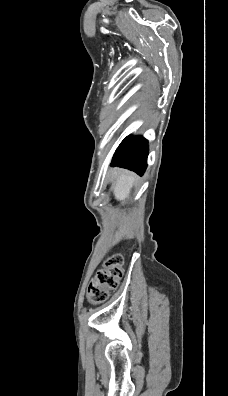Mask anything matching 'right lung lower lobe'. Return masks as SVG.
Masks as SVG:
<instances>
[{
  "instance_id": "1",
  "label": "right lung lower lobe",
  "mask_w": 228,
  "mask_h": 396,
  "mask_svg": "<svg viewBox=\"0 0 228 396\" xmlns=\"http://www.w3.org/2000/svg\"><path fill=\"white\" fill-rule=\"evenodd\" d=\"M147 155V140L141 136H128L117 148L111 166L127 168L142 176L147 167Z\"/></svg>"
}]
</instances>
